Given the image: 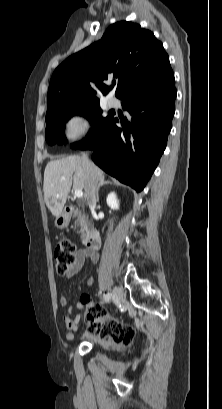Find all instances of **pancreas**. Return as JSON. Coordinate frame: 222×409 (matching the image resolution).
<instances>
[{
  "label": "pancreas",
  "instance_id": "pancreas-1",
  "mask_svg": "<svg viewBox=\"0 0 222 409\" xmlns=\"http://www.w3.org/2000/svg\"><path fill=\"white\" fill-rule=\"evenodd\" d=\"M76 217V221H75V226L76 227H80V234H81V238L84 240L87 236V232H88V220L85 216L84 213H82L80 210H76L74 212V216Z\"/></svg>",
  "mask_w": 222,
  "mask_h": 409
}]
</instances>
